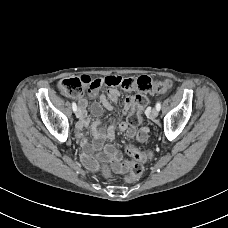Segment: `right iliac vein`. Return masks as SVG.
<instances>
[{
	"instance_id": "right-iliac-vein-1",
	"label": "right iliac vein",
	"mask_w": 228,
	"mask_h": 228,
	"mask_svg": "<svg viewBox=\"0 0 228 228\" xmlns=\"http://www.w3.org/2000/svg\"><path fill=\"white\" fill-rule=\"evenodd\" d=\"M75 115H76L77 118H80V116H81V110L80 109H77L75 111Z\"/></svg>"
}]
</instances>
